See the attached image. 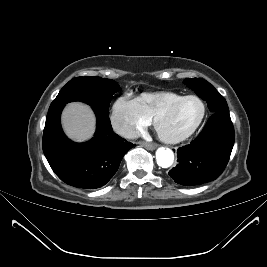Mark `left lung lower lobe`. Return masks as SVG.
<instances>
[{
    "label": "left lung lower lobe",
    "instance_id": "0a47b994",
    "mask_svg": "<svg viewBox=\"0 0 267 267\" xmlns=\"http://www.w3.org/2000/svg\"><path fill=\"white\" fill-rule=\"evenodd\" d=\"M233 145L234 128L229 112H215L197 138L177 150L178 164L168 174L184 186L215 180L225 169Z\"/></svg>",
    "mask_w": 267,
    "mask_h": 267
}]
</instances>
